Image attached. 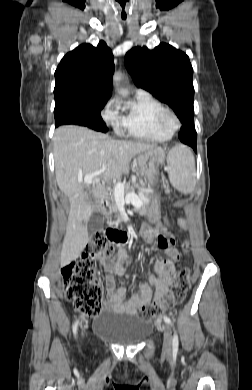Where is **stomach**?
Segmentation results:
<instances>
[{
    "label": "stomach",
    "instance_id": "obj_1",
    "mask_svg": "<svg viewBox=\"0 0 252 390\" xmlns=\"http://www.w3.org/2000/svg\"><path fill=\"white\" fill-rule=\"evenodd\" d=\"M165 153L160 150H149L140 153L137 157L138 170L143 174L150 185L157 181L159 167L164 163ZM146 217L149 222L155 223L160 218V202L156 197L146 206Z\"/></svg>",
    "mask_w": 252,
    "mask_h": 390
}]
</instances>
